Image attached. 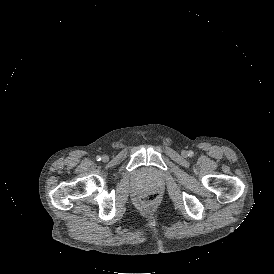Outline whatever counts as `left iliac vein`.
I'll use <instances>...</instances> for the list:
<instances>
[{"mask_svg": "<svg viewBox=\"0 0 274 274\" xmlns=\"http://www.w3.org/2000/svg\"><path fill=\"white\" fill-rule=\"evenodd\" d=\"M186 153H187L186 151H183V152H182L183 155H186Z\"/></svg>", "mask_w": 274, "mask_h": 274, "instance_id": "4c4485c4", "label": "left iliac vein"}]
</instances>
